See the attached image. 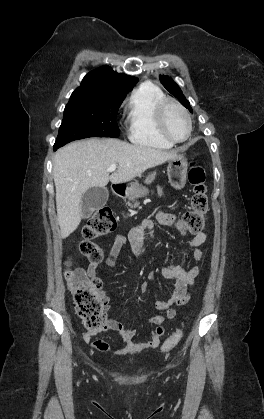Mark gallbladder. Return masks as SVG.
<instances>
[{
    "label": "gallbladder",
    "mask_w": 264,
    "mask_h": 419,
    "mask_svg": "<svg viewBox=\"0 0 264 419\" xmlns=\"http://www.w3.org/2000/svg\"><path fill=\"white\" fill-rule=\"evenodd\" d=\"M108 190L105 187L89 188L82 196L81 210L84 218H88L92 213L103 207L108 200Z\"/></svg>",
    "instance_id": "obj_1"
}]
</instances>
